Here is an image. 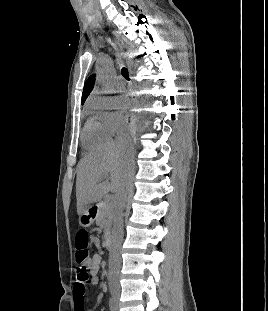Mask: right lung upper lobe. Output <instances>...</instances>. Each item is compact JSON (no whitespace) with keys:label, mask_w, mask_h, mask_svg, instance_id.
<instances>
[{"label":"right lung upper lobe","mask_w":268,"mask_h":311,"mask_svg":"<svg viewBox=\"0 0 268 311\" xmlns=\"http://www.w3.org/2000/svg\"><path fill=\"white\" fill-rule=\"evenodd\" d=\"M94 83H95V75L93 74L85 82L83 94H82V100H81L82 105L84 104L86 98L89 96L90 92L92 91Z\"/></svg>","instance_id":"right-lung-upper-lobe-1"}]
</instances>
